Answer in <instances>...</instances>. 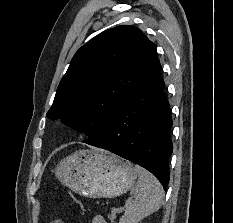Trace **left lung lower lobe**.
<instances>
[{"instance_id": "left-lung-lower-lobe-1", "label": "left lung lower lobe", "mask_w": 233, "mask_h": 223, "mask_svg": "<svg viewBox=\"0 0 233 223\" xmlns=\"http://www.w3.org/2000/svg\"><path fill=\"white\" fill-rule=\"evenodd\" d=\"M161 65L156 59L140 85L87 144L130 160L156 176L166 190L173 146L172 118L163 94Z\"/></svg>"}]
</instances>
